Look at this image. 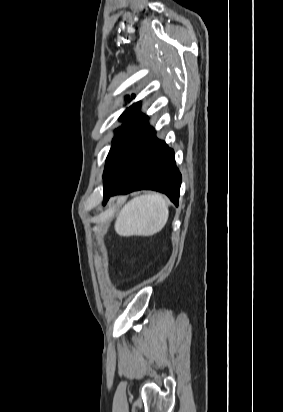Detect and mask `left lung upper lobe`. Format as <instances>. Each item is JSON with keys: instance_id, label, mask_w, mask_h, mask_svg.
<instances>
[{"instance_id": "5c2ea615", "label": "left lung upper lobe", "mask_w": 283, "mask_h": 412, "mask_svg": "<svg viewBox=\"0 0 283 412\" xmlns=\"http://www.w3.org/2000/svg\"><path fill=\"white\" fill-rule=\"evenodd\" d=\"M139 110L140 104L135 103L121 115L123 125L115 130L107 156V160L122 161L123 179H127L142 160L155 134L148 125V116L140 114Z\"/></svg>"}]
</instances>
